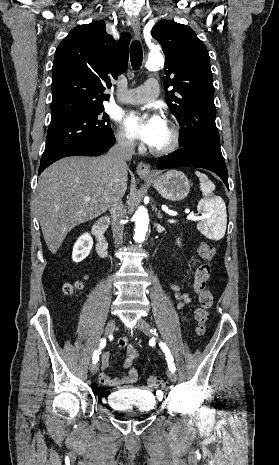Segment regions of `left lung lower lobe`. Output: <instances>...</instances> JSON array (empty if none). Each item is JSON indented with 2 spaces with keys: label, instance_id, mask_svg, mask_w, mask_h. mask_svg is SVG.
Masks as SVG:
<instances>
[{
  "label": "left lung lower lobe",
  "instance_id": "obj_1",
  "mask_svg": "<svg viewBox=\"0 0 279 465\" xmlns=\"http://www.w3.org/2000/svg\"><path fill=\"white\" fill-rule=\"evenodd\" d=\"M198 167L215 172L228 185V173L224 160H221L205 151L182 148L168 156L161 157L157 163V169H168L173 167Z\"/></svg>",
  "mask_w": 279,
  "mask_h": 465
}]
</instances>
